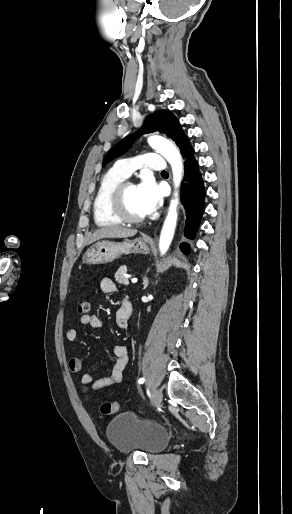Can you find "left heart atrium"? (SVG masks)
Returning a JSON list of instances; mask_svg holds the SVG:
<instances>
[{
	"mask_svg": "<svg viewBox=\"0 0 292 514\" xmlns=\"http://www.w3.org/2000/svg\"><path fill=\"white\" fill-rule=\"evenodd\" d=\"M137 194L145 213L155 211L161 203L162 194L151 174H144L136 186Z\"/></svg>",
	"mask_w": 292,
	"mask_h": 514,
	"instance_id": "39dd6f15",
	"label": "left heart atrium"
}]
</instances>
